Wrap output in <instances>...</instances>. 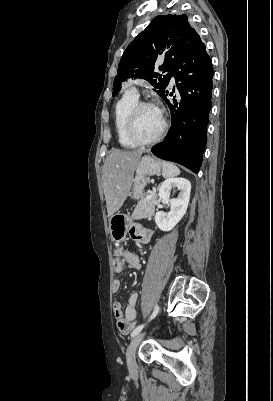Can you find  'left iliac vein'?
I'll return each mask as SVG.
<instances>
[{"label": "left iliac vein", "mask_w": 273, "mask_h": 401, "mask_svg": "<svg viewBox=\"0 0 273 401\" xmlns=\"http://www.w3.org/2000/svg\"><path fill=\"white\" fill-rule=\"evenodd\" d=\"M144 334L138 333L130 342L127 352H126V359L129 372L131 374H135L137 372V365H136V350L139 343L142 341Z\"/></svg>", "instance_id": "obj_1"}]
</instances>
